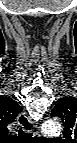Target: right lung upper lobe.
Here are the masks:
<instances>
[{
  "label": "right lung upper lobe",
  "mask_w": 77,
  "mask_h": 143,
  "mask_svg": "<svg viewBox=\"0 0 77 143\" xmlns=\"http://www.w3.org/2000/svg\"><path fill=\"white\" fill-rule=\"evenodd\" d=\"M21 107L11 98L0 97V127L8 133L7 125L12 123L21 112Z\"/></svg>",
  "instance_id": "right-lung-upper-lobe-1"
}]
</instances>
